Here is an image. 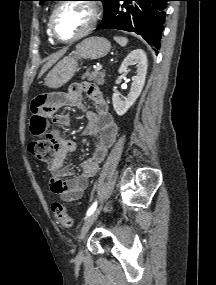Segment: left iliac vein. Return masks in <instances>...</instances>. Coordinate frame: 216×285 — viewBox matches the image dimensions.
<instances>
[{
  "label": "left iliac vein",
  "mask_w": 216,
  "mask_h": 285,
  "mask_svg": "<svg viewBox=\"0 0 216 285\" xmlns=\"http://www.w3.org/2000/svg\"><path fill=\"white\" fill-rule=\"evenodd\" d=\"M102 206H100L98 209H96L91 215H89L85 221L84 224L82 226V229L80 231V240H83V238L85 237L86 233L88 232V230L90 229L91 225L93 224V222L96 220V218L98 217L100 211H101ZM83 252L82 250L79 251L78 257H82Z\"/></svg>",
  "instance_id": "left-iliac-vein-1"
}]
</instances>
